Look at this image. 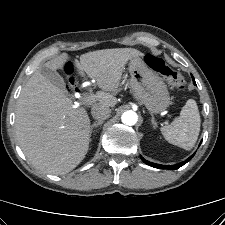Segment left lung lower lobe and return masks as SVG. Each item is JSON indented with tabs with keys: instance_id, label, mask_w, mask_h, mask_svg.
I'll use <instances>...</instances> for the list:
<instances>
[{
	"instance_id": "1",
	"label": "left lung lower lobe",
	"mask_w": 225,
	"mask_h": 225,
	"mask_svg": "<svg viewBox=\"0 0 225 225\" xmlns=\"http://www.w3.org/2000/svg\"><path fill=\"white\" fill-rule=\"evenodd\" d=\"M192 79H193V83L196 84L193 76H192ZM194 154L192 156H190L186 161H183V162H181L179 164L172 165V166H164V165H160V164L151 163V162L145 160L143 157H141V159H142V161L144 163H146V164H148V165H150L152 167L159 168V169H171V170H174V169L180 168L181 166L186 164L188 161H190L192 159V157L194 156Z\"/></svg>"
}]
</instances>
